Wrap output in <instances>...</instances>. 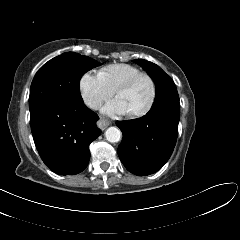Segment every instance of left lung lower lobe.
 <instances>
[{
  "instance_id": "1",
  "label": "left lung lower lobe",
  "mask_w": 240,
  "mask_h": 240,
  "mask_svg": "<svg viewBox=\"0 0 240 240\" xmlns=\"http://www.w3.org/2000/svg\"><path fill=\"white\" fill-rule=\"evenodd\" d=\"M179 119V106L166 104L141 118L117 121L123 133L118 155L126 169L138 176L157 172L174 150Z\"/></svg>"
}]
</instances>
